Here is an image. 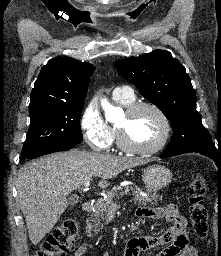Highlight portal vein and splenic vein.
I'll return each instance as SVG.
<instances>
[{
    "instance_id": "portal-vein-and-splenic-vein-1",
    "label": "portal vein and splenic vein",
    "mask_w": 221,
    "mask_h": 256,
    "mask_svg": "<svg viewBox=\"0 0 221 256\" xmlns=\"http://www.w3.org/2000/svg\"><path fill=\"white\" fill-rule=\"evenodd\" d=\"M89 186H90V179L84 182V187H85V189H88ZM111 207H112V208H115V207H116V204H115V203H112V204H111Z\"/></svg>"
}]
</instances>
